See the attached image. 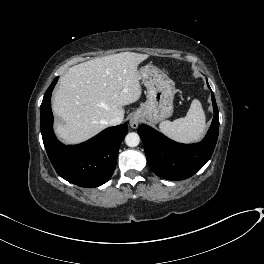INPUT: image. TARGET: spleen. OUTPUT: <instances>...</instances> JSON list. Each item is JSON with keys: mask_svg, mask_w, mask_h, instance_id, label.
Here are the masks:
<instances>
[{"mask_svg": "<svg viewBox=\"0 0 264 264\" xmlns=\"http://www.w3.org/2000/svg\"><path fill=\"white\" fill-rule=\"evenodd\" d=\"M205 113L199 100L194 99L187 115L171 121H163L159 125L160 131L169 138L190 143L199 140L205 131Z\"/></svg>", "mask_w": 264, "mask_h": 264, "instance_id": "obj_1", "label": "spleen"}]
</instances>
